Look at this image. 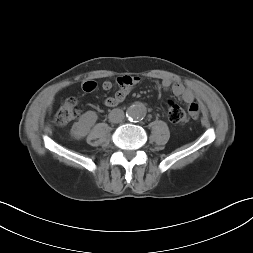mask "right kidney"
<instances>
[{
  "label": "right kidney",
  "instance_id": "ca27d5eb",
  "mask_svg": "<svg viewBox=\"0 0 253 253\" xmlns=\"http://www.w3.org/2000/svg\"><path fill=\"white\" fill-rule=\"evenodd\" d=\"M97 118L96 112L87 111L80 117L79 121L73 125L71 135L77 139L85 137L97 121Z\"/></svg>",
  "mask_w": 253,
  "mask_h": 253
}]
</instances>
